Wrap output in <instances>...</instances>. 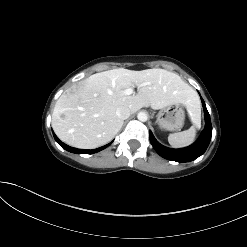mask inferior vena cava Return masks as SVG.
Masks as SVG:
<instances>
[{
  "mask_svg": "<svg viewBox=\"0 0 247 247\" xmlns=\"http://www.w3.org/2000/svg\"><path fill=\"white\" fill-rule=\"evenodd\" d=\"M131 114V111L128 107L126 106H121V107H118L117 110H116V115L122 119V120H125L127 119Z\"/></svg>",
  "mask_w": 247,
  "mask_h": 247,
  "instance_id": "602c4592",
  "label": "inferior vena cava"
}]
</instances>
